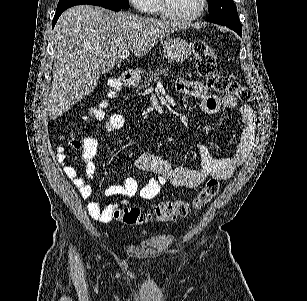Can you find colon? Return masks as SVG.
I'll return each instance as SVG.
<instances>
[{
    "mask_svg": "<svg viewBox=\"0 0 307 301\" xmlns=\"http://www.w3.org/2000/svg\"><path fill=\"white\" fill-rule=\"evenodd\" d=\"M193 55L196 69L203 77L208 86L215 92L235 96L239 101L247 103L253 100V92L246 86L235 81L228 75L218 73L216 70V59L212 47L203 40L193 44ZM108 95L114 97L121 89L119 80H111L107 84ZM106 101H100L88 109L85 119L95 123L104 117ZM74 148L80 146L78 141H71ZM219 192L217 179H209L200 192L191 201H164L159 203L150 212H142L137 207H125L115 209L113 216L124 224L135 226L148 221L171 222L187 216L192 210H198L208 204Z\"/></svg>",
    "mask_w": 307,
    "mask_h": 301,
    "instance_id": "obj_1",
    "label": "colon"
}]
</instances>
